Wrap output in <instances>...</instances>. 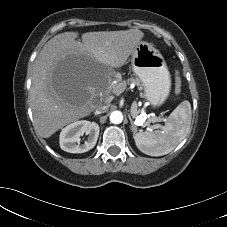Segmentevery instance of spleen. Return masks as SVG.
<instances>
[{"label": "spleen", "mask_w": 227, "mask_h": 227, "mask_svg": "<svg viewBox=\"0 0 227 227\" xmlns=\"http://www.w3.org/2000/svg\"><path fill=\"white\" fill-rule=\"evenodd\" d=\"M191 104L181 102L169 115L165 126L153 132L134 134L137 148L149 156H163L173 151L186 137L191 125Z\"/></svg>", "instance_id": "obj_1"}]
</instances>
